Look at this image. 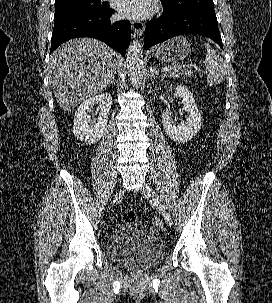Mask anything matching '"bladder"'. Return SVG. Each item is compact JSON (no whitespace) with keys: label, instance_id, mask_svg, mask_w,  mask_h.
Returning a JSON list of instances; mask_svg holds the SVG:
<instances>
[{"label":"bladder","instance_id":"1","mask_svg":"<svg viewBox=\"0 0 272 303\" xmlns=\"http://www.w3.org/2000/svg\"><path fill=\"white\" fill-rule=\"evenodd\" d=\"M107 258L119 265L146 270L165 257V246L159 232L146 224L128 223L114 232L106 242Z\"/></svg>","mask_w":272,"mask_h":303}]
</instances>
